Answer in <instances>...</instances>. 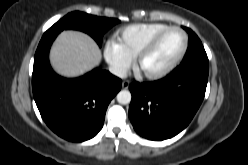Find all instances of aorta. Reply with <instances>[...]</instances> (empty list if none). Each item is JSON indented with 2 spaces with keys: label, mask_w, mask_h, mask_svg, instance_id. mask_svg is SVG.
I'll use <instances>...</instances> for the list:
<instances>
[{
  "label": "aorta",
  "mask_w": 248,
  "mask_h": 165,
  "mask_svg": "<svg viewBox=\"0 0 248 165\" xmlns=\"http://www.w3.org/2000/svg\"><path fill=\"white\" fill-rule=\"evenodd\" d=\"M131 93L128 90H121L117 94V101L120 104L126 105L131 101Z\"/></svg>",
  "instance_id": "762f6f07"
}]
</instances>
